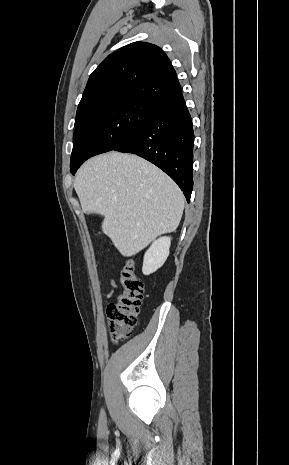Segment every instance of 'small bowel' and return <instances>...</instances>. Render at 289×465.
<instances>
[{"label":"small bowel","instance_id":"obj_1","mask_svg":"<svg viewBox=\"0 0 289 465\" xmlns=\"http://www.w3.org/2000/svg\"><path fill=\"white\" fill-rule=\"evenodd\" d=\"M111 284H112L113 286H115V283H114L113 281H111ZM109 296H110V294H109Z\"/></svg>","mask_w":289,"mask_h":465}]
</instances>
